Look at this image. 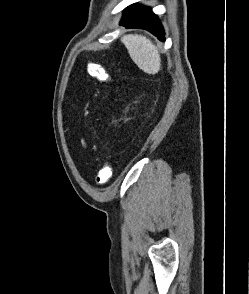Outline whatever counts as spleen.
I'll list each match as a JSON object with an SVG mask.
<instances>
[{
	"label": "spleen",
	"instance_id": "obj_1",
	"mask_svg": "<svg viewBox=\"0 0 249 294\" xmlns=\"http://www.w3.org/2000/svg\"><path fill=\"white\" fill-rule=\"evenodd\" d=\"M122 43L128 50L136 65L148 74H156L161 67L160 54L157 47L145 36L137 34L124 35Z\"/></svg>",
	"mask_w": 249,
	"mask_h": 294
}]
</instances>
